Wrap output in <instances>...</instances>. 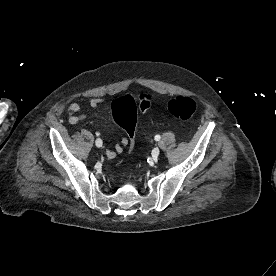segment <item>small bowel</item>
I'll return each instance as SVG.
<instances>
[{
  "instance_id": "small-bowel-1",
  "label": "small bowel",
  "mask_w": 276,
  "mask_h": 276,
  "mask_svg": "<svg viewBox=\"0 0 276 276\" xmlns=\"http://www.w3.org/2000/svg\"><path fill=\"white\" fill-rule=\"evenodd\" d=\"M82 102H83V100L74 102L68 108V111L70 114L69 123L71 125H75V124L86 119V115L81 113V109H82L81 103ZM88 103L91 108L95 109V108L100 107L104 103V99L101 97H94V98H91L88 101ZM127 144H128V140L126 138H123L121 141H119L115 145V147L113 149L106 151L107 157L109 159L115 158L117 155L122 153L123 149L127 146Z\"/></svg>"
}]
</instances>
